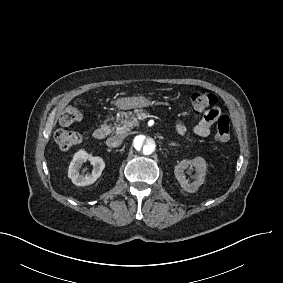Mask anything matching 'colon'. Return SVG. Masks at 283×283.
I'll return each mask as SVG.
<instances>
[{"instance_id":"colon-1","label":"colon","mask_w":283,"mask_h":283,"mask_svg":"<svg viewBox=\"0 0 283 283\" xmlns=\"http://www.w3.org/2000/svg\"><path fill=\"white\" fill-rule=\"evenodd\" d=\"M218 103L217 97L206 90L194 91L191 95V107L196 113L204 112ZM83 117L82 110L75 104L66 106L61 115L60 121L63 124H72L79 122ZM214 125L213 139L215 142L223 143L230 136V118L224 120H216ZM55 139L61 149H71L78 145L81 135L74 130H58Z\"/></svg>"}]
</instances>
